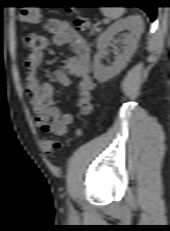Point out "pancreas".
<instances>
[{
  "label": "pancreas",
  "instance_id": "obj_1",
  "mask_svg": "<svg viewBox=\"0 0 170 231\" xmlns=\"http://www.w3.org/2000/svg\"><path fill=\"white\" fill-rule=\"evenodd\" d=\"M101 29L97 28L96 25L93 27V29L91 30V35L94 34V32H99Z\"/></svg>",
  "mask_w": 170,
  "mask_h": 231
}]
</instances>
